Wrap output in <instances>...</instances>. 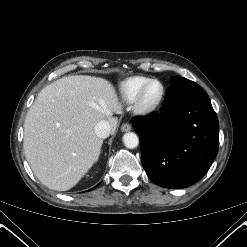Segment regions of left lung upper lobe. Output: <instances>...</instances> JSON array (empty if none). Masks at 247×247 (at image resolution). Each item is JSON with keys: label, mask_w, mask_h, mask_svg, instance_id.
<instances>
[{"label": "left lung upper lobe", "mask_w": 247, "mask_h": 247, "mask_svg": "<svg viewBox=\"0 0 247 247\" xmlns=\"http://www.w3.org/2000/svg\"><path fill=\"white\" fill-rule=\"evenodd\" d=\"M195 82L188 80L186 78L180 77V76H174L171 78V84L172 86H186V85H192Z\"/></svg>", "instance_id": "left-lung-upper-lobe-1"}]
</instances>
